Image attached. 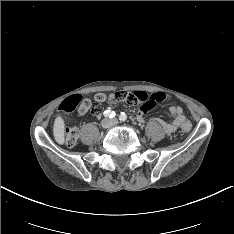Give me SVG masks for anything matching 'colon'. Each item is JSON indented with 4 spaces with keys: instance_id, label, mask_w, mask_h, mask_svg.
<instances>
[{
    "instance_id": "colon-1",
    "label": "colon",
    "mask_w": 234,
    "mask_h": 234,
    "mask_svg": "<svg viewBox=\"0 0 234 234\" xmlns=\"http://www.w3.org/2000/svg\"><path fill=\"white\" fill-rule=\"evenodd\" d=\"M166 95L163 92L148 95L143 91H116L111 94L98 93L92 98H83L81 95H74L67 98L61 104V110L65 113H72L77 110L80 114L91 113L98 115L101 113L106 102L111 103H127L132 106L140 105L145 109H153L159 102L164 101ZM191 123L185 122L182 126L184 132L191 130ZM79 132L76 128H67L65 130V143L69 147L76 145Z\"/></svg>"
}]
</instances>
